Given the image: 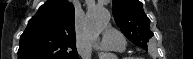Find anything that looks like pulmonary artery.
I'll use <instances>...</instances> for the list:
<instances>
[{
  "label": "pulmonary artery",
  "instance_id": "pulmonary-artery-1",
  "mask_svg": "<svg viewBox=\"0 0 193 59\" xmlns=\"http://www.w3.org/2000/svg\"><path fill=\"white\" fill-rule=\"evenodd\" d=\"M101 45L116 51H123L125 48V44L122 40V34L110 27L105 29Z\"/></svg>",
  "mask_w": 193,
  "mask_h": 59
}]
</instances>
